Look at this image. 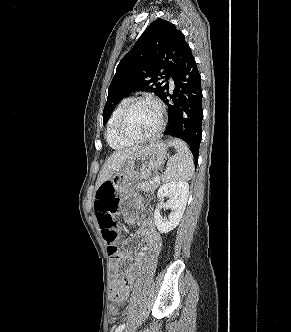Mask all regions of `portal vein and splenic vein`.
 Listing matches in <instances>:
<instances>
[{
    "label": "portal vein and splenic vein",
    "mask_w": 291,
    "mask_h": 332,
    "mask_svg": "<svg viewBox=\"0 0 291 332\" xmlns=\"http://www.w3.org/2000/svg\"><path fill=\"white\" fill-rule=\"evenodd\" d=\"M154 181L156 182V183H159L160 182V176H156L155 178H154Z\"/></svg>",
    "instance_id": "1"
}]
</instances>
